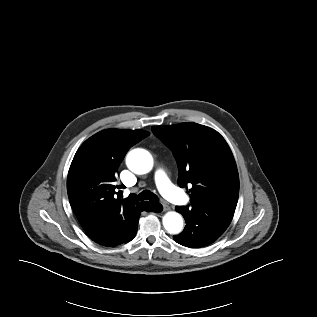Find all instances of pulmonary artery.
<instances>
[{
	"instance_id": "pulmonary-artery-1",
	"label": "pulmonary artery",
	"mask_w": 317,
	"mask_h": 317,
	"mask_svg": "<svg viewBox=\"0 0 317 317\" xmlns=\"http://www.w3.org/2000/svg\"><path fill=\"white\" fill-rule=\"evenodd\" d=\"M155 182L160 192L168 200L178 204L188 202V197L173 185L163 169H158L155 172Z\"/></svg>"
}]
</instances>
